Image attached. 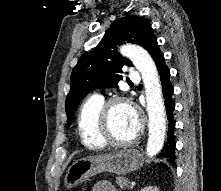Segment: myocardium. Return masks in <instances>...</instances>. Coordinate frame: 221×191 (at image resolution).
<instances>
[{
	"mask_svg": "<svg viewBox=\"0 0 221 191\" xmlns=\"http://www.w3.org/2000/svg\"><path fill=\"white\" fill-rule=\"evenodd\" d=\"M118 106L133 108L131 101L124 97H114L105 101L99 115V136L106 146L126 147L134 144L143 132V124L138 122V127L134 135L128 140H118L112 134L111 116L113 110Z\"/></svg>",
	"mask_w": 221,
	"mask_h": 191,
	"instance_id": "f54148a6",
	"label": "myocardium"
}]
</instances>
